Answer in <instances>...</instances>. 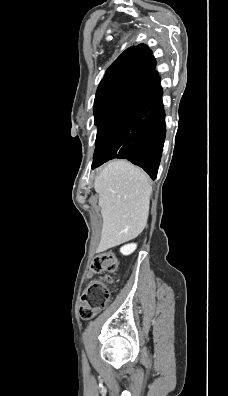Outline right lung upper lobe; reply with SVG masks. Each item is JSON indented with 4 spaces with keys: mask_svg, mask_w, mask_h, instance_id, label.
I'll use <instances>...</instances> for the list:
<instances>
[{
    "mask_svg": "<svg viewBox=\"0 0 228 396\" xmlns=\"http://www.w3.org/2000/svg\"><path fill=\"white\" fill-rule=\"evenodd\" d=\"M151 54L150 49L144 44L129 47L107 69L100 84L132 72L146 71L145 61Z\"/></svg>",
    "mask_w": 228,
    "mask_h": 396,
    "instance_id": "1",
    "label": "right lung upper lobe"
}]
</instances>
